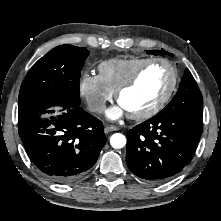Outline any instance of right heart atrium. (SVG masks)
Segmentation results:
<instances>
[{"label": "right heart atrium", "mask_w": 221, "mask_h": 221, "mask_svg": "<svg viewBox=\"0 0 221 221\" xmlns=\"http://www.w3.org/2000/svg\"><path fill=\"white\" fill-rule=\"evenodd\" d=\"M79 91L89 110L94 113H101L113 98V92L99 75L84 74L79 82Z\"/></svg>", "instance_id": "1"}]
</instances>
